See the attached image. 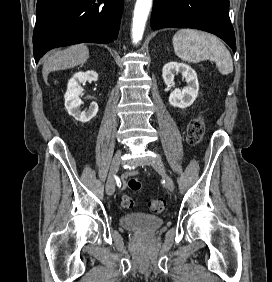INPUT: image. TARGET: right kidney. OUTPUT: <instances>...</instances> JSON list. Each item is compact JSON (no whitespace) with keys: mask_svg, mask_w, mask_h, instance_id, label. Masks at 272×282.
Masks as SVG:
<instances>
[{"mask_svg":"<svg viewBox=\"0 0 272 282\" xmlns=\"http://www.w3.org/2000/svg\"><path fill=\"white\" fill-rule=\"evenodd\" d=\"M98 74L95 71L76 72L73 77L68 81L67 91L64 95L65 108L69 115L74 117L76 121L86 123L94 118L98 112V105L92 102L87 112H81L79 107L81 100L79 95L82 92L81 84H85L86 81H97Z\"/></svg>","mask_w":272,"mask_h":282,"instance_id":"obj_1","label":"right kidney"}]
</instances>
